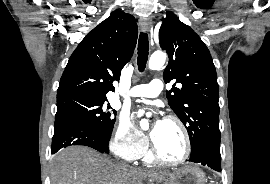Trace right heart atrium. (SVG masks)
Masks as SVG:
<instances>
[{"label":"right heart atrium","mask_w":270,"mask_h":184,"mask_svg":"<svg viewBox=\"0 0 270 184\" xmlns=\"http://www.w3.org/2000/svg\"><path fill=\"white\" fill-rule=\"evenodd\" d=\"M110 148L118 158L134 161L147 150L148 140L134 128L128 118L122 117L113 132Z\"/></svg>","instance_id":"obj_1"}]
</instances>
